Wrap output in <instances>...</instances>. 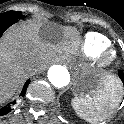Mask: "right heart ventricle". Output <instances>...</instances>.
Instances as JSON below:
<instances>
[{
	"label": "right heart ventricle",
	"instance_id": "obj_1",
	"mask_svg": "<svg viewBox=\"0 0 124 124\" xmlns=\"http://www.w3.org/2000/svg\"><path fill=\"white\" fill-rule=\"evenodd\" d=\"M110 44L111 41L106 35L88 32L78 41L77 49L84 58L94 59Z\"/></svg>",
	"mask_w": 124,
	"mask_h": 124
}]
</instances>
